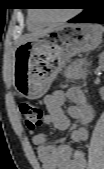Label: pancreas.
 Masks as SVG:
<instances>
[{"label":"pancreas","mask_w":104,"mask_h":169,"mask_svg":"<svg viewBox=\"0 0 104 169\" xmlns=\"http://www.w3.org/2000/svg\"><path fill=\"white\" fill-rule=\"evenodd\" d=\"M87 74V63L82 60H76L65 69V76L69 80L80 79Z\"/></svg>","instance_id":"obj_1"}]
</instances>
